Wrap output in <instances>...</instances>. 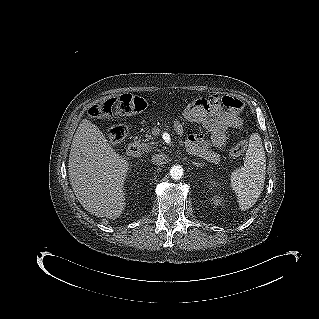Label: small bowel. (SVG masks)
Masks as SVG:
<instances>
[{
  "instance_id": "1",
  "label": "small bowel",
  "mask_w": 319,
  "mask_h": 319,
  "mask_svg": "<svg viewBox=\"0 0 319 319\" xmlns=\"http://www.w3.org/2000/svg\"><path fill=\"white\" fill-rule=\"evenodd\" d=\"M242 125V120L235 112H226L219 107H214L209 111L208 119L204 126L211 133V141H204L203 137L198 134L188 137L186 146L190 153L205 157L210 161H217L218 155L210 150V146L223 149L228 140L230 129H237ZM175 129L182 133L183 127L180 122H175Z\"/></svg>"
}]
</instances>
